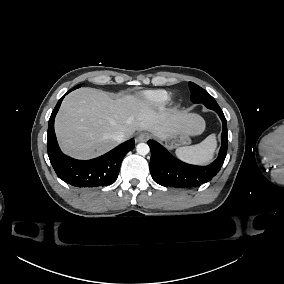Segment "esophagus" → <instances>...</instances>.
Returning <instances> with one entry per match:
<instances>
[{"label":"esophagus","mask_w":284,"mask_h":284,"mask_svg":"<svg viewBox=\"0 0 284 284\" xmlns=\"http://www.w3.org/2000/svg\"><path fill=\"white\" fill-rule=\"evenodd\" d=\"M147 138H148V135L146 133H141V134L138 135L137 140L138 141H145V140H147Z\"/></svg>","instance_id":"1"}]
</instances>
